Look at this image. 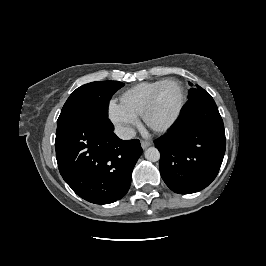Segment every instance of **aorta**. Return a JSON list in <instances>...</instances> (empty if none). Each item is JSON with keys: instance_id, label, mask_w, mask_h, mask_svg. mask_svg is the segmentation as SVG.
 <instances>
[{"instance_id": "1", "label": "aorta", "mask_w": 266, "mask_h": 266, "mask_svg": "<svg viewBox=\"0 0 266 266\" xmlns=\"http://www.w3.org/2000/svg\"><path fill=\"white\" fill-rule=\"evenodd\" d=\"M145 158L148 161L151 162H156L160 159V153L158 151L157 148L155 147H149L146 151H145Z\"/></svg>"}]
</instances>
